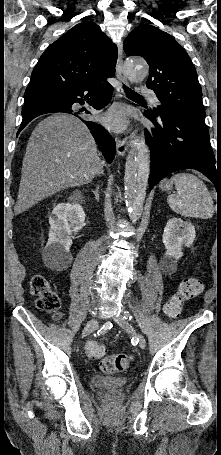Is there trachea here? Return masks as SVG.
I'll use <instances>...</instances> for the list:
<instances>
[{
	"label": "trachea",
	"mask_w": 221,
	"mask_h": 455,
	"mask_svg": "<svg viewBox=\"0 0 221 455\" xmlns=\"http://www.w3.org/2000/svg\"><path fill=\"white\" fill-rule=\"evenodd\" d=\"M123 89H124V91H125L127 96L143 99V97L141 95L137 94L135 91L131 90L130 88H128L126 86H123Z\"/></svg>",
	"instance_id": "trachea-1"
}]
</instances>
